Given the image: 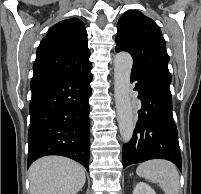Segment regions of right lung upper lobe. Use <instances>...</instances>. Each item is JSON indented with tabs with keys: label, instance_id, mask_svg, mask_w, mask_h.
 Returning a JSON list of instances; mask_svg holds the SVG:
<instances>
[{
	"label": "right lung upper lobe",
	"instance_id": "right-lung-upper-lobe-1",
	"mask_svg": "<svg viewBox=\"0 0 201 194\" xmlns=\"http://www.w3.org/2000/svg\"><path fill=\"white\" fill-rule=\"evenodd\" d=\"M89 57L84 23L77 18L63 20L52 26L42 39L33 65V78L84 73L92 68Z\"/></svg>",
	"mask_w": 201,
	"mask_h": 194
}]
</instances>
